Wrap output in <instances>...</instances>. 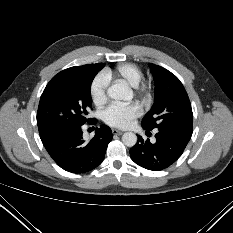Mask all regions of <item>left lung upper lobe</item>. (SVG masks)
Wrapping results in <instances>:
<instances>
[{
  "instance_id": "left-lung-upper-lobe-1",
  "label": "left lung upper lobe",
  "mask_w": 233,
  "mask_h": 233,
  "mask_svg": "<svg viewBox=\"0 0 233 233\" xmlns=\"http://www.w3.org/2000/svg\"><path fill=\"white\" fill-rule=\"evenodd\" d=\"M150 69L155 81V101L142 120L143 128L192 135L193 113L184 86L165 68L151 64Z\"/></svg>"
}]
</instances>
